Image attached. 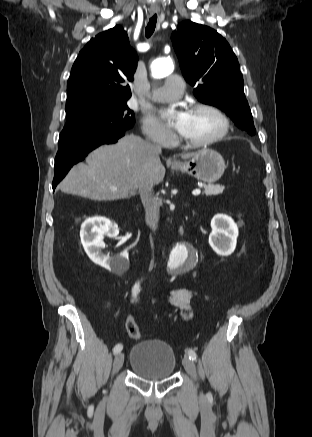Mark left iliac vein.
<instances>
[{
    "label": "left iliac vein",
    "instance_id": "left-iliac-vein-1",
    "mask_svg": "<svg viewBox=\"0 0 312 437\" xmlns=\"http://www.w3.org/2000/svg\"><path fill=\"white\" fill-rule=\"evenodd\" d=\"M183 366L187 373L191 375L194 380H197L195 364L187 355L183 358Z\"/></svg>",
    "mask_w": 312,
    "mask_h": 437
}]
</instances>
